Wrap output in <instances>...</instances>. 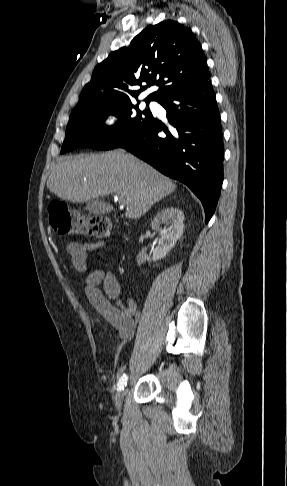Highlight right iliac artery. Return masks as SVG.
<instances>
[{
    "mask_svg": "<svg viewBox=\"0 0 287 486\" xmlns=\"http://www.w3.org/2000/svg\"><path fill=\"white\" fill-rule=\"evenodd\" d=\"M127 380H128V376L126 374H123L121 376V378L119 379V382H118V390H121L124 388V386H126L127 384Z\"/></svg>",
    "mask_w": 287,
    "mask_h": 486,
    "instance_id": "82829eb1",
    "label": "right iliac artery"
}]
</instances>
